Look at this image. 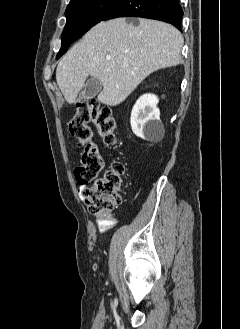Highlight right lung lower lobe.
<instances>
[{"label": "right lung lower lobe", "mask_w": 240, "mask_h": 329, "mask_svg": "<svg viewBox=\"0 0 240 329\" xmlns=\"http://www.w3.org/2000/svg\"><path fill=\"white\" fill-rule=\"evenodd\" d=\"M118 17H141L160 20L181 30L183 10L179 0H121L101 21Z\"/></svg>", "instance_id": "1"}]
</instances>
